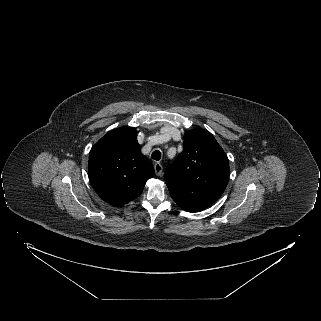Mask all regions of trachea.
Returning a JSON list of instances; mask_svg holds the SVG:
<instances>
[{
  "mask_svg": "<svg viewBox=\"0 0 321 321\" xmlns=\"http://www.w3.org/2000/svg\"><path fill=\"white\" fill-rule=\"evenodd\" d=\"M151 158L156 160V161H159L160 158H161V152L159 150H155L152 155H151Z\"/></svg>",
  "mask_w": 321,
  "mask_h": 321,
  "instance_id": "trachea-1",
  "label": "trachea"
}]
</instances>
